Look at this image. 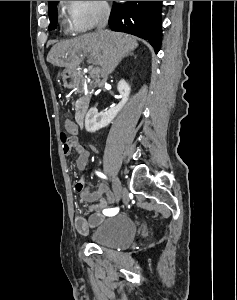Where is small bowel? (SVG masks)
I'll return each mask as SVG.
<instances>
[{
	"mask_svg": "<svg viewBox=\"0 0 237 300\" xmlns=\"http://www.w3.org/2000/svg\"><path fill=\"white\" fill-rule=\"evenodd\" d=\"M65 129L69 134L76 135L79 132L78 126L71 120L65 121ZM76 153L75 165L81 172V178L75 184V190L80 194L82 201L89 204L86 212L81 211L76 214L74 226L80 234H86L88 230L99 223L105 217V211L116 201V195L105 183H101L96 191H91L87 181V164L89 152L81 146L74 150ZM71 151L64 150L65 154Z\"/></svg>",
	"mask_w": 237,
	"mask_h": 300,
	"instance_id": "c3829d8e",
	"label": "small bowel"
}]
</instances>
